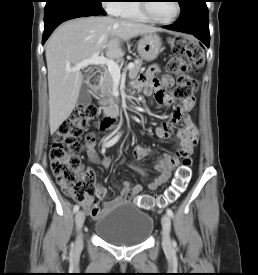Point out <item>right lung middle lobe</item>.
<instances>
[{
    "label": "right lung middle lobe",
    "mask_w": 258,
    "mask_h": 275,
    "mask_svg": "<svg viewBox=\"0 0 258 275\" xmlns=\"http://www.w3.org/2000/svg\"><path fill=\"white\" fill-rule=\"evenodd\" d=\"M55 1H57V0H48L47 4H50V3L55 2ZM86 1H89V2L94 3L96 5H101V2H102V0H86Z\"/></svg>",
    "instance_id": "1"
}]
</instances>
